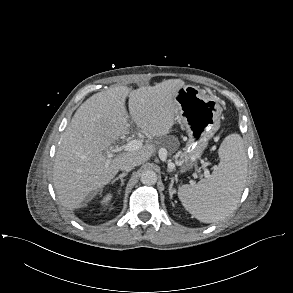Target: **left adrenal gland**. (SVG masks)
Wrapping results in <instances>:
<instances>
[{"instance_id":"1","label":"left adrenal gland","mask_w":293,"mask_h":293,"mask_svg":"<svg viewBox=\"0 0 293 293\" xmlns=\"http://www.w3.org/2000/svg\"><path fill=\"white\" fill-rule=\"evenodd\" d=\"M173 184H174V179L171 178V183H170V185H169V194H170V198H172V197H173V194L176 193V190L173 189Z\"/></svg>"}]
</instances>
